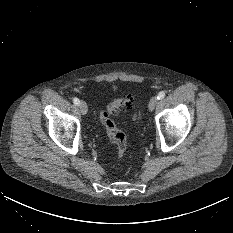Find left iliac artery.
I'll return each instance as SVG.
<instances>
[{
	"label": "left iliac artery",
	"instance_id": "obj_1",
	"mask_svg": "<svg viewBox=\"0 0 233 233\" xmlns=\"http://www.w3.org/2000/svg\"><path fill=\"white\" fill-rule=\"evenodd\" d=\"M165 97V92L164 91H161V92H159L158 93V95H157V99H163Z\"/></svg>",
	"mask_w": 233,
	"mask_h": 233
}]
</instances>
